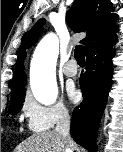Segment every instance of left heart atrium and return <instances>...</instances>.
Returning <instances> with one entry per match:
<instances>
[{
  "label": "left heart atrium",
  "mask_w": 123,
  "mask_h": 152,
  "mask_svg": "<svg viewBox=\"0 0 123 152\" xmlns=\"http://www.w3.org/2000/svg\"><path fill=\"white\" fill-rule=\"evenodd\" d=\"M67 93L71 101L77 102L80 98V93L73 84L67 86Z\"/></svg>",
  "instance_id": "39dd6f15"
}]
</instances>
